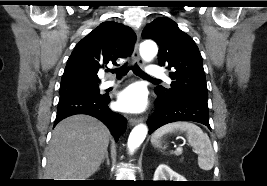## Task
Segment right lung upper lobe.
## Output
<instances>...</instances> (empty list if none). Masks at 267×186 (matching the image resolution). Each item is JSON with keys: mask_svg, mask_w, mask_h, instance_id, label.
Wrapping results in <instances>:
<instances>
[{"mask_svg": "<svg viewBox=\"0 0 267 186\" xmlns=\"http://www.w3.org/2000/svg\"><path fill=\"white\" fill-rule=\"evenodd\" d=\"M136 35L131 28L114 21L103 22L84 37L71 53L61 85L98 84L97 73L104 65H116L118 58L132 54Z\"/></svg>", "mask_w": 267, "mask_h": 186, "instance_id": "cb5924a9", "label": "right lung upper lobe"}]
</instances>
